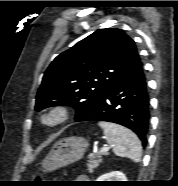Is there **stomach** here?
Listing matches in <instances>:
<instances>
[{
    "instance_id": "stomach-1",
    "label": "stomach",
    "mask_w": 178,
    "mask_h": 186,
    "mask_svg": "<svg viewBox=\"0 0 178 186\" xmlns=\"http://www.w3.org/2000/svg\"><path fill=\"white\" fill-rule=\"evenodd\" d=\"M88 146V140L82 137H67L58 141L42 161L43 172H52L80 160Z\"/></svg>"
}]
</instances>
